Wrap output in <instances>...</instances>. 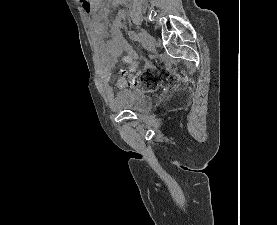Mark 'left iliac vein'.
<instances>
[{"label": "left iliac vein", "mask_w": 277, "mask_h": 225, "mask_svg": "<svg viewBox=\"0 0 277 225\" xmlns=\"http://www.w3.org/2000/svg\"><path fill=\"white\" fill-rule=\"evenodd\" d=\"M138 39L141 45L147 50H153L156 47V40L153 36L145 31H140L138 34Z\"/></svg>", "instance_id": "obj_1"}]
</instances>
